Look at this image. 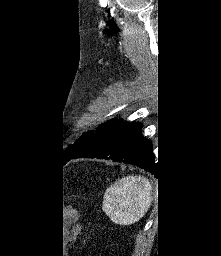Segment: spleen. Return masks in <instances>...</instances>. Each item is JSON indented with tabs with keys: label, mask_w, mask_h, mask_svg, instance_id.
Returning <instances> with one entry per match:
<instances>
[{
	"label": "spleen",
	"mask_w": 221,
	"mask_h": 256,
	"mask_svg": "<svg viewBox=\"0 0 221 256\" xmlns=\"http://www.w3.org/2000/svg\"><path fill=\"white\" fill-rule=\"evenodd\" d=\"M153 188L142 176H127L107 188L103 211L111 221L130 225L141 219L150 208Z\"/></svg>",
	"instance_id": "obj_1"
}]
</instances>
